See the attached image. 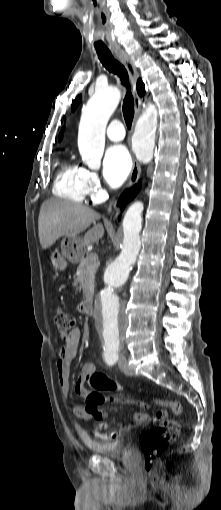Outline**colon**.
Instances as JSON below:
<instances>
[{
	"label": "colon",
	"instance_id": "5ec220e1",
	"mask_svg": "<svg viewBox=\"0 0 221 510\" xmlns=\"http://www.w3.org/2000/svg\"><path fill=\"white\" fill-rule=\"evenodd\" d=\"M54 323L60 338L67 341L74 331L75 321L73 316L63 310L57 309L54 313ZM88 384L93 390L86 396V407L87 410L93 415V419L96 421H102L106 412L102 409L97 408L100 406L105 398L101 392H116L122 390V387L116 381L110 379L102 372H94L88 378ZM111 401H126L130 404H138L139 406L146 408V402H136L134 400H122L118 398H111ZM154 403L165 408V411H159L155 414L154 420L161 421L158 427L150 430L144 440L143 451H144V472L146 474H152L155 462L157 459L168 449V447L175 441L180 432L182 423V404L178 400H163L153 399ZM170 410L174 414L173 419H166V411ZM104 427V425H102Z\"/></svg>",
	"mask_w": 221,
	"mask_h": 510
}]
</instances>
